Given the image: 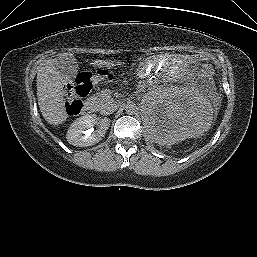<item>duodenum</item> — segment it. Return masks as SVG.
Segmentation results:
<instances>
[{
	"label": "duodenum",
	"mask_w": 257,
	"mask_h": 257,
	"mask_svg": "<svg viewBox=\"0 0 257 257\" xmlns=\"http://www.w3.org/2000/svg\"><path fill=\"white\" fill-rule=\"evenodd\" d=\"M82 112L86 116H92L95 113V105L92 102H86L83 105Z\"/></svg>",
	"instance_id": "410a0bca"
}]
</instances>
